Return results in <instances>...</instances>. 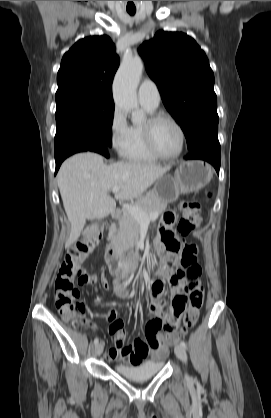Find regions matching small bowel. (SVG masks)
Masks as SVG:
<instances>
[{
  "label": "small bowel",
  "mask_w": 271,
  "mask_h": 418,
  "mask_svg": "<svg viewBox=\"0 0 271 418\" xmlns=\"http://www.w3.org/2000/svg\"><path fill=\"white\" fill-rule=\"evenodd\" d=\"M161 248V244H157ZM178 261V255L174 252H169L163 265L156 270V275L166 280L167 286H170V294L174 300L177 296H183L191 292L197 286H200V281L185 279L178 277L173 265ZM96 284V278L87 277L86 282H80V285ZM104 288L107 287V282L102 280ZM118 296L127 298L129 294L124 287H118L116 290ZM151 305L150 312L151 320L145 326V341L136 339L132 345L125 346V331L122 327V321L116 312L112 311L107 315V319L111 322L109 331L114 338V346L108 349L105 357L107 360L119 361L129 365H137L145 361H158L166 356V342L172 337V332L164 329V324L168 321L172 322L175 328L178 326L179 318L183 311L177 310L172 303H169L164 298V287L161 281H154L150 283ZM163 329L165 331H163Z\"/></svg>",
  "instance_id": "obj_1"
}]
</instances>
